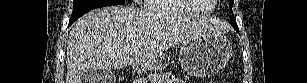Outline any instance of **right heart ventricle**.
Segmentation results:
<instances>
[{"label": "right heart ventricle", "mask_w": 307, "mask_h": 83, "mask_svg": "<svg viewBox=\"0 0 307 83\" xmlns=\"http://www.w3.org/2000/svg\"><path fill=\"white\" fill-rule=\"evenodd\" d=\"M148 8L163 14L194 12L191 7L180 0H150Z\"/></svg>", "instance_id": "right-heart-ventricle-1"}]
</instances>
